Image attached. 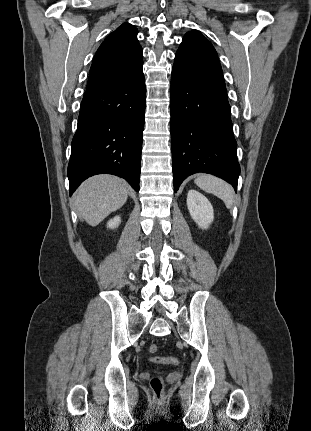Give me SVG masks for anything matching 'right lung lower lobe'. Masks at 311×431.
I'll list each match as a JSON object with an SVG mask.
<instances>
[{
	"label": "right lung lower lobe",
	"instance_id": "obj_1",
	"mask_svg": "<svg viewBox=\"0 0 311 431\" xmlns=\"http://www.w3.org/2000/svg\"><path fill=\"white\" fill-rule=\"evenodd\" d=\"M145 106L143 65L127 78L87 88L71 144L70 195L100 173L122 177L139 191Z\"/></svg>",
	"mask_w": 311,
	"mask_h": 431
}]
</instances>
